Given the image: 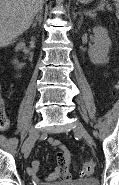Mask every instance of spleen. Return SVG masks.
Instances as JSON below:
<instances>
[{
	"label": "spleen",
	"instance_id": "1",
	"mask_svg": "<svg viewBox=\"0 0 119 185\" xmlns=\"http://www.w3.org/2000/svg\"><path fill=\"white\" fill-rule=\"evenodd\" d=\"M115 2H117V5H119V0H114Z\"/></svg>",
	"mask_w": 119,
	"mask_h": 185
}]
</instances>
